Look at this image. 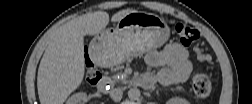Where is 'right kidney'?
I'll use <instances>...</instances> for the list:
<instances>
[{
  "instance_id": "right-kidney-1",
  "label": "right kidney",
  "mask_w": 252,
  "mask_h": 104,
  "mask_svg": "<svg viewBox=\"0 0 252 104\" xmlns=\"http://www.w3.org/2000/svg\"><path fill=\"white\" fill-rule=\"evenodd\" d=\"M87 100V94L84 92L76 93L72 95L68 100L67 104H81Z\"/></svg>"
}]
</instances>
